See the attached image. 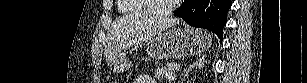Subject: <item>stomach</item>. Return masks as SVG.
<instances>
[{"label": "stomach", "instance_id": "obj_1", "mask_svg": "<svg viewBox=\"0 0 307 83\" xmlns=\"http://www.w3.org/2000/svg\"><path fill=\"white\" fill-rule=\"evenodd\" d=\"M212 37L207 32L190 28H174L150 38L147 41L151 58H184L203 52L211 44ZM110 70L122 73L129 69L130 62L123 53L107 59Z\"/></svg>", "mask_w": 307, "mask_h": 83}]
</instances>
